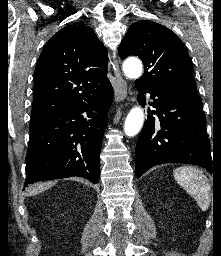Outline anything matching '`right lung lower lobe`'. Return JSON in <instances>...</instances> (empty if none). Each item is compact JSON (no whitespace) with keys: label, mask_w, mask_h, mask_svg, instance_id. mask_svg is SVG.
I'll return each mask as SVG.
<instances>
[{"label":"right lung lower lobe","mask_w":221,"mask_h":256,"mask_svg":"<svg viewBox=\"0 0 221 256\" xmlns=\"http://www.w3.org/2000/svg\"><path fill=\"white\" fill-rule=\"evenodd\" d=\"M112 101L109 86L91 98L31 120L24 186L72 176L98 183L102 139Z\"/></svg>","instance_id":"1"}]
</instances>
